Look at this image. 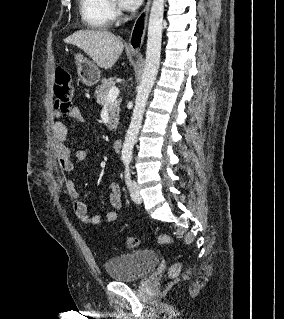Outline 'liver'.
Instances as JSON below:
<instances>
[{"mask_svg": "<svg viewBox=\"0 0 284 319\" xmlns=\"http://www.w3.org/2000/svg\"><path fill=\"white\" fill-rule=\"evenodd\" d=\"M64 42L78 46L103 69L111 68L124 48L120 37L104 29L79 30L68 36Z\"/></svg>", "mask_w": 284, "mask_h": 319, "instance_id": "obj_1", "label": "liver"}]
</instances>
